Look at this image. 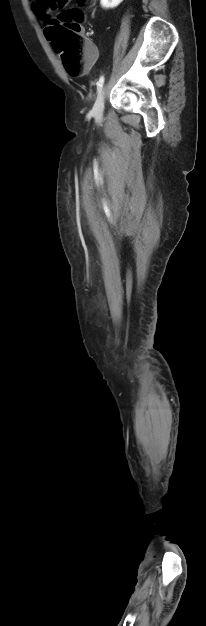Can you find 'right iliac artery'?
<instances>
[{"instance_id":"82829eb1","label":"right iliac artery","mask_w":206,"mask_h":626,"mask_svg":"<svg viewBox=\"0 0 206 626\" xmlns=\"http://www.w3.org/2000/svg\"><path fill=\"white\" fill-rule=\"evenodd\" d=\"M103 83H104V76H101L97 82L98 91H100V89L102 88Z\"/></svg>"}]
</instances>
